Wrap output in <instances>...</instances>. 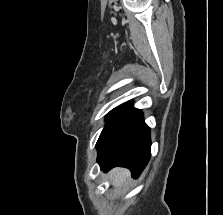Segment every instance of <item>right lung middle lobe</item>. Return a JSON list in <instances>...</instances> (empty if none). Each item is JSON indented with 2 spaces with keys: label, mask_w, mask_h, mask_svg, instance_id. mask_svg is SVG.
<instances>
[{
  "label": "right lung middle lobe",
  "mask_w": 223,
  "mask_h": 215,
  "mask_svg": "<svg viewBox=\"0 0 223 215\" xmlns=\"http://www.w3.org/2000/svg\"><path fill=\"white\" fill-rule=\"evenodd\" d=\"M134 110L132 106V101L119 108L113 109L106 116V125L102 130L99 139L97 141L96 147L98 148L102 142L110 135V133L117 127V125L127 117Z\"/></svg>",
  "instance_id": "right-lung-middle-lobe-1"
}]
</instances>
